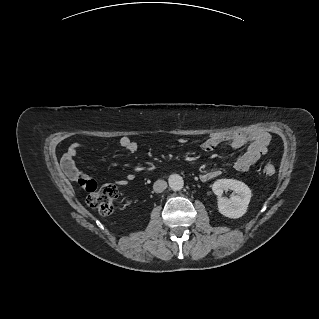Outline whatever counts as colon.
Masks as SVG:
<instances>
[{"instance_id": "5ec220e1", "label": "colon", "mask_w": 319, "mask_h": 319, "mask_svg": "<svg viewBox=\"0 0 319 319\" xmlns=\"http://www.w3.org/2000/svg\"><path fill=\"white\" fill-rule=\"evenodd\" d=\"M275 167L267 164L263 168V174L266 177L273 176ZM80 186L88 192V205L97 210L102 215H108L113 211L114 202L118 197V190L114 185L106 184L98 186L94 180L88 178L78 179Z\"/></svg>"}]
</instances>
